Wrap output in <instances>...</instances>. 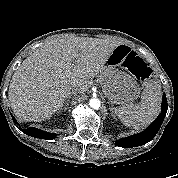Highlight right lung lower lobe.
Returning a JSON list of instances; mask_svg holds the SVG:
<instances>
[{"mask_svg": "<svg viewBox=\"0 0 178 178\" xmlns=\"http://www.w3.org/2000/svg\"><path fill=\"white\" fill-rule=\"evenodd\" d=\"M12 119H13L14 122H16V120L13 116H12ZM22 131L29 136L41 138V139H46V140L54 139L55 136H56V134L45 132V131H42L40 129L34 128V127H30L28 129L22 130Z\"/></svg>", "mask_w": 178, "mask_h": 178, "instance_id": "obj_1", "label": "right lung lower lobe"}]
</instances>
